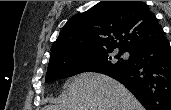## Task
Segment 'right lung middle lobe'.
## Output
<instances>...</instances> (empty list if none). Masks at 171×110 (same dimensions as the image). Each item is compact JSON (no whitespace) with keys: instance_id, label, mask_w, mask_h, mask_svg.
Instances as JSON below:
<instances>
[{"instance_id":"1","label":"right lung middle lobe","mask_w":171,"mask_h":110,"mask_svg":"<svg viewBox=\"0 0 171 110\" xmlns=\"http://www.w3.org/2000/svg\"><path fill=\"white\" fill-rule=\"evenodd\" d=\"M127 51L119 49L118 55L113 56V48H110L54 57L49 62L45 82H52L84 71L107 73L127 67L132 63L133 52L128 51L131 60L120 58V55Z\"/></svg>"}]
</instances>
